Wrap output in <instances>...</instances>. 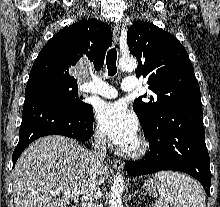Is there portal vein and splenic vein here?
<instances>
[{
	"mask_svg": "<svg viewBox=\"0 0 220 207\" xmlns=\"http://www.w3.org/2000/svg\"><path fill=\"white\" fill-rule=\"evenodd\" d=\"M60 192H62V189L58 188V189L56 190V193H60Z\"/></svg>",
	"mask_w": 220,
	"mask_h": 207,
	"instance_id": "1",
	"label": "portal vein and splenic vein"
}]
</instances>
